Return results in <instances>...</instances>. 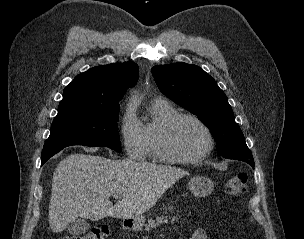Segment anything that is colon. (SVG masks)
I'll return each instance as SVG.
<instances>
[{"label": "colon", "mask_w": 304, "mask_h": 239, "mask_svg": "<svg viewBox=\"0 0 304 239\" xmlns=\"http://www.w3.org/2000/svg\"><path fill=\"white\" fill-rule=\"evenodd\" d=\"M247 177L245 174H236L225 183V191L232 196H239L246 189ZM109 235L107 226L95 227L78 236H66L62 239H106Z\"/></svg>", "instance_id": "colon-1"}]
</instances>
